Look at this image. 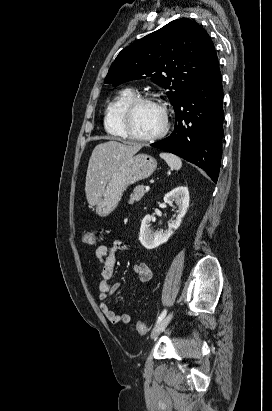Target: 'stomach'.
<instances>
[{"instance_id":"stomach-1","label":"stomach","mask_w":272,"mask_h":411,"mask_svg":"<svg viewBox=\"0 0 272 411\" xmlns=\"http://www.w3.org/2000/svg\"><path fill=\"white\" fill-rule=\"evenodd\" d=\"M157 161L150 155L138 154L120 164L111 175L96 205V213L106 217L115 210L127 186L146 179L156 170Z\"/></svg>"}]
</instances>
